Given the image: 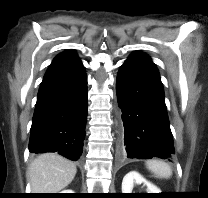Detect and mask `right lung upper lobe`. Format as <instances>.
Listing matches in <instances>:
<instances>
[{"label": "right lung upper lobe", "instance_id": "obj_1", "mask_svg": "<svg viewBox=\"0 0 208 198\" xmlns=\"http://www.w3.org/2000/svg\"><path fill=\"white\" fill-rule=\"evenodd\" d=\"M79 61H80V59L77 57V55L74 51L66 50L63 53H61L55 57L53 62L50 64L44 77L52 75V74H54L58 71H61L63 69H66V68L76 64Z\"/></svg>", "mask_w": 208, "mask_h": 198}]
</instances>
